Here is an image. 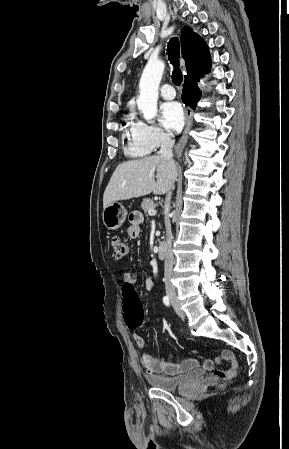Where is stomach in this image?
Wrapping results in <instances>:
<instances>
[{"label": "stomach", "instance_id": "1", "mask_svg": "<svg viewBox=\"0 0 289 449\" xmlns=\"http://www.w3.org/2000/svg\"><path fill=\"white\" fill-rule=\"evenodd\" d=\"M127 216L125 207L118 202H113L103 209V223L109 230H117L122 226Z\"/></svg>", "mask_w": 289, "mask_h": 449}]
</instances>
